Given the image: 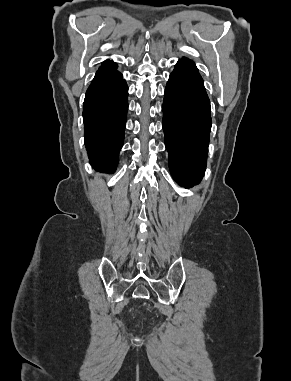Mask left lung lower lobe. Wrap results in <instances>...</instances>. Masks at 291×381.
Wrapping results in <instances>:
<instances>
[{
    "instance_id": "left-lung-lower-lobe-1",
    "label": "left lung lower lobe",
    "mask_w": 291,
    "mask_h": 381,
    "mask_svg": "<svg viewBox=\"0 0 291 381\" xmlns=\"http://www.w3.org/2000/svg\"><path fill=\"white\" fill-rule=\"evenodd\" d=\"M210 101L195 63L183 57L170 74L163 101V129L173 179L198 183L205 172L211 130Z\"/></svg>"
}]
</instances>
